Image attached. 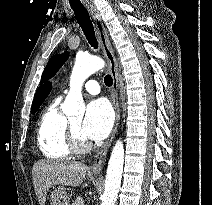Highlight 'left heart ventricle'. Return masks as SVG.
<instances>
[{
  "instance_id": "left-heart-ventricle-1",
  "label": "left heart ventricle",
  "mask_w": 212,
  "mask_h": 205,
  "mask_svg": "<svg viewBox=\"0 0 212 205\" xmlns=\"http://www.w3.org/2000/svg\"><path fill=\"white\" fill-rule=\"evenodd\" d=\"M74 129L80 134L81 130V119H75L71 122Z\"/></svg>"
}]
</instances>
